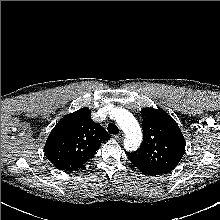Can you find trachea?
I'll return each mask as SVG.
<instances>
[{
	"label": "trachea",
	"instance_id": "3493384b",
	"mask_svg": "<svg viewBox=\"0 0 220 220\" xmlns=\"http://www.w3.org/2000/svg\"><path fill=\"white\" fill-rule=\"evenodd\" d=\"M107 130L110 134H118L119 128L115 124H109Z\"/></svg>",
	"mask_w": 220,
	"mask_h": 220
}]
</instances>
